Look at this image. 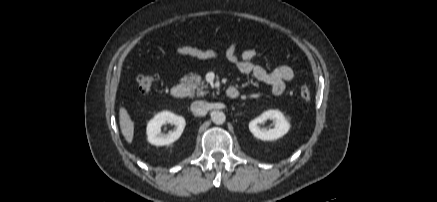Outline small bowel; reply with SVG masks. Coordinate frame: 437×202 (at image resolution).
I'll list each match as a JSON object with an SVG mask.
<instances>
[{
	"label": "small bowel",
	"mask_w": 437,
	"mask_h": 202,
	"mask_svg": "<svg viewBox=\"0 0 437 202\" xmlns=\"http://www.w3.org/2000/svg\"><path fill=\"white\" fill-rule=\"evenodd\" d=\"M176 54L188 56L199 60H211L219 56V52L214 49H202L195 46H181L176 49ZM258 52L254 48H248L237 53V47L234 43L230 44L224 51L226 59L234 63L239 72L251 76L256 81L267 84L271 87L275 96H281L286 89V83L294 77V71L287 65L278 66L272 70H267L262 66L253 63V59Z\"/></svg>",
	"instance_id": "1"
}]
</instances>
